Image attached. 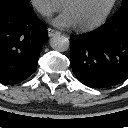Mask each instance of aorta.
Here are the masks:
<instances>
[{
  "label": "aorta",
  "mask_w": 128,
  "mask_h": 128,
  "mask_svg": "<svg viewBox=\"0 0 128 128\" xmlns=\"http://www.w3.org/2000/svg\"><path fill=\"white\" fill-rule=\"evenodd\" d=\"M50 46L58 52L67 51L70 46L69 39L64 35H54L50 39Z\"/></svg>",
  "instance_id": "aorta-1"
}]
</instances>
